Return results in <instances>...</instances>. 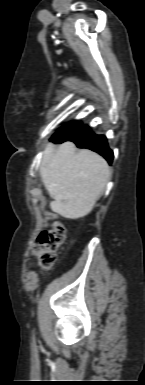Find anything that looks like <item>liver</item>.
Returning <instances> with one entry per match:
<instances>
[{
  "label": "liver",
  "instance_id": "obj_1",
  "mask_svg": "<svg viewBox=\"0 0 145 385\" xmlns=\"http://www.w3.org/2000/svg\"><path fill=\"white\" fill-rule=\"evenodd\" d=\"M40 174L51 209L67 219L88 215L109 180L107 162L88 149L77 151L73 142L45 146Z\"/></svg>",
  "mask_w": 145,
  "mask_h": 385
}]
</instances>
